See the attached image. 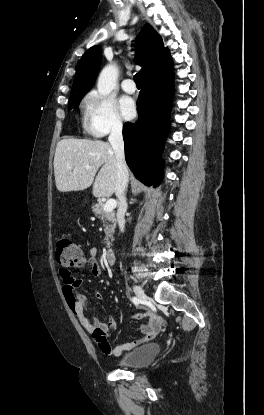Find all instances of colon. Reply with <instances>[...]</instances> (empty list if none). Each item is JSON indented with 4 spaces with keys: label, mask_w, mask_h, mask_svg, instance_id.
<instances>
[{
    "label": "colon",
    "mask_w": 264,
    "mask_h": 415,
    "mask_svg": "<svg viewBox=\"0 0 264 415\" xmlns=\"http://www.w3.org/2000/svg\"><path fill=\"white\" fill-rule=\"evenodd\" d=\"M84 259V254L70 237L64 235L58 239L56 260L63 269L68 270L73 265L82 263ZM66 298L69 302H72V293H67Z\"/></svg>",
    "instance_id": "colon-1"
}]
</instances>
